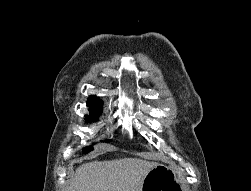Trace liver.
Returning <instances> with one entry per match:
<instances>
[{"instance_id": "obj_1", "label": "liver", "mask_w": 251, "mask_h": 191, "mask_svg": "<svg viewBox=\"0 0 251 191\" xmlns=\"http://www.w3.org/2000/svg\"><path fill=\"white\" fill-rule=\"evenodd\" d=\"M155 165V161L140 157L82 163L68 191H142L144 175Z\"/></svg>"}]
</instances>
